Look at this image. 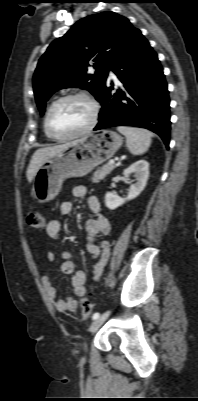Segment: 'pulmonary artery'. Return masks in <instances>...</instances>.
I'll return each mask as SVG.
<instances>
[{
    "instance_id": "e3ab8cb5",
    "label": "pulmonary artery",
    "mask_w": 198,
    "mask_h": 401,
    "mask_svg": "<svg viewBox=\"0 0 198 401\" xmlns=\"http://www.w3.org/2000/svg\"><path fill=\"white\" fill-rule=\"evenodd\" d=\"M109 78L114 81H117L116 75L112 71L109 72Z\"/></svg>"
}]
</instances>
